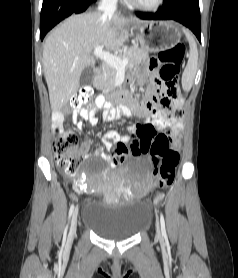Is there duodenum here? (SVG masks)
I'll list each match as a JSON object with an SVG mask.
<instances>
[{"instance_id":"duodenum-1","label":"duodenum","mask_w":238,"mask_h":278,"mask_svg":"<svg viewBox=\"0 0 238 278\" xmlns=\"http://www.w3.org/2000/svg\"><path fill=\"white\" fill-rule=\"evenodd\" d=\"M94 77L98 78L101 74V69L99 67H96L93 71Z\"/></svg>"}]
</instances>
